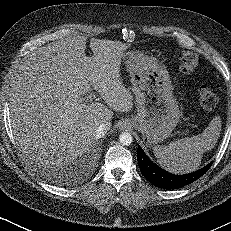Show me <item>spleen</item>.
<instances>
[{"label":"spleen","mask_w":231,"mask_h":231,"mask_svg":"<svg viewBox=\"0 0 231 231\" xmlns=\"http://www.w3.org/2000/svg\"><path fill=\"white\" fill-rule=\"evenodd\" d=\"M221 118L216 116L208 127L193 137L183 138L169 145L153 148L161 167L171 173L186 174L196 171L201 164L205 151L213 149L221 132Z\"/></svg>","instance_id":"3e777b00"}]
</instances>
